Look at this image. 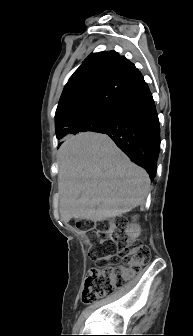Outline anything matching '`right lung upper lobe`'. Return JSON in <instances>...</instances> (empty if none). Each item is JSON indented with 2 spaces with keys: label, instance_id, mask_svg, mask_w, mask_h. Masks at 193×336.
<instances>
[{
  "label": "right lung upper lobe",
  "instance_id": "cb5924a9",
  "mask_svg": "<svg viewBox=\"0 0 193 336\" xmlns=\"http://www.w3.org/2000/svg\"><path fill=\"white\" fill-rule=\"evenodd\" d=\"M139 73L115 51L90 55L66 84L56 111V136L76 134L71 128L81 116L111 109L115 100Z\"/></svg>",
  "mask_w": 193,
  "mask_h": 336
}]
</instances>
